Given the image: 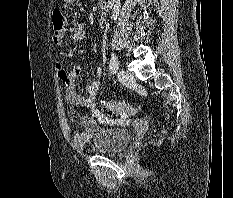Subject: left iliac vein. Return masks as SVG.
Wrapping results in <instances>:
<instances>
[{"instance_id":"4c4485c4","label":"left iliac vein","mask_w":233,"mask_h":198,"mask_svg":"<svg viewBox=\"0 0 233 198\" xmlns=\"http://www.w3.org/2000/svg\"><path fill=\"white\" fill-rule=\"evenodd\" d=\"M117 76L119 81L126 86L131 85L135 81L133 74L127 70H120Z\"/></svg>"}]
</instances>
